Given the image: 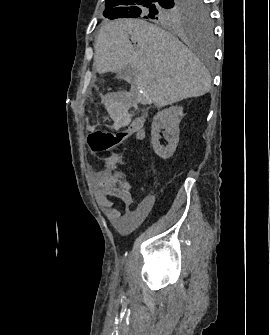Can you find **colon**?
<instances>
[{"label":"colon","mask_w":270,"mask_h":335,"mask_svg":"<svg viewBox=\"0 0 270 335\" xmlns=\"http://www.w3.org/2000/svg\"><path fill=\"white\" fill-rule=\"evenodd\" d=\"M132 135L133 131L130 128L117 132L98 129L89 135L88 144L94 154H104L122 147Z\"/></svg>","instance_id":"colon-1"}]
</instances>
